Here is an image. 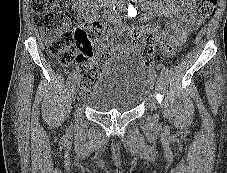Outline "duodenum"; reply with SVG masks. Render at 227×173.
Wrapping results in <instances>:
<instances>
[{"label": "duodenum", "mask_w": 227, "mask_h": 173, "mask_svg": "<svg viewBox=\"0 0 227 173\" xmlns=\"http://www.w3.org/2000/svg\"><path fill=\"white\" fill-rule=\"evenodd\" d=\"M103 3V6L107 10H112V8H120L123 4V0H101Z\"/></svg>", "instance_id": "1"}]
</instances>
